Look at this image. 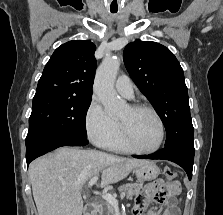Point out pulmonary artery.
Returning <instances> with one entry per match:
<instances>
[{
	"mask_svg": "<svg viewBox=\"0 0 223 215\" xmlns=\"http://www.w3.org/2000/svg\"><path fill=\"white\" fill-rule=\"evenodd\" d=\"M115 89L121 95L132 98L133 97V83L129 77L122 75L115 81Z\"/></svg>",
	"mask_w": 223,
	"mask_h": 215,
	"instance_id": "pulmonary-artery-1",
	"label": "pulmonary artery"
}]
</instances>
